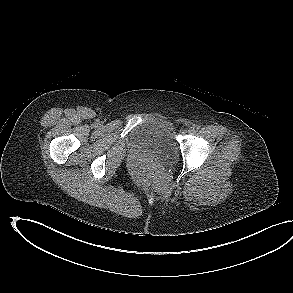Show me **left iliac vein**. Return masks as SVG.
I'll use <instances>...</instances> for the list:
<instances>
[{"mask_svg":"<svg viewBox=\"0 0 293 293\" xmlns=\"http://www.w3.org/2000/svg\"><path fill=\"white\" fill-rule=\"evenodd\" d=\"M194 131H195V128H194V127H190V128L188 129V132H189V133H194Z\"/></svg>","mask_w":293,"mask_h":293,"instance_id":"obj_1","label":"left iliac vein"}]
</instances>
